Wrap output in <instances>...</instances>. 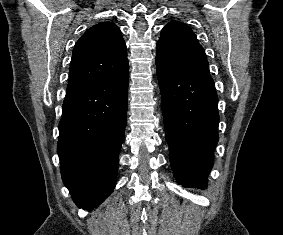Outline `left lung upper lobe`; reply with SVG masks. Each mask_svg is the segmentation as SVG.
<instances>
[{
    "label": "left lung upper lobe",
    "instance_id": "left-lung-upper-lobe-1",
    "mask_svg": "<svg viewBox=\"0 0 283 235\" xmlns=\"http://www.w3.org/2000/svg\"><path fill=\"white\" fill-rule=\"evenodd\" d=\"M156 64L210 77L203 47L191 28L181 22H169L157 43Z\"/></svg>",
    "mask_w": 283,
    "mask_h": 235
}]
</instances>
